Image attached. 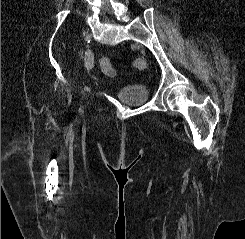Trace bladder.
<instances>
[{
	"mask_svg": "<svg viewBox=\"0 0 245 239\" xmlns=\"http://www.w3.org/2000/svg\"><path fill=\"white\" fill-rule=\"evenodd\" d=\"M116 97L127 105H140L149 100V89L143 84H129L119 86Z\"/></svg>",
	"mask_w": 245,
	"mask_h": 239,
	"instance_id": "31cf9c89",
	"label": "bladder"
}]
</instances>
